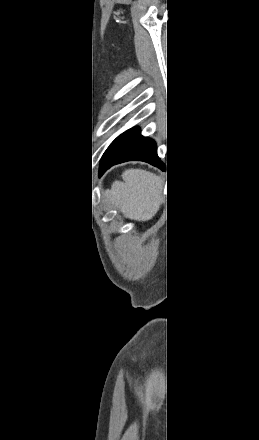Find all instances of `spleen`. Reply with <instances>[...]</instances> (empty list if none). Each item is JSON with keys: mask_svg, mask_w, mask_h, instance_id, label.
<instances>
[{"mask_svg": "<svg viewBox=\"0 0 259 440\" xmlns=\"http://www.w3.org/2000/svg\"><path fill=\"white\" fill-rule=\"evenodd\" d=\"M123 181H115L104 192V199L130 219H151L163 202L164 179L143 169H128Z\"/></svg>", "mask_w": 259, "mask_h": 440, "instance_id": "3e777b00", "label": "spleen"}]
</instances>
